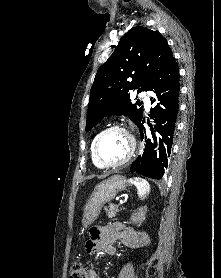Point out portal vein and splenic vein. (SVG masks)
<instances>
[{"instance_id": "obj_1", "label": "portal vein and splenic vein", "mask_w": 221, "mask_h": 278, "mask_svg": "<svg viewBox=\"0 0 221 278\" xmlns=\"http://www.w3.org/2000/svg\"><path fill=\"white\" fill-rule=\"evenodd\" d=\"M125 202L121 199L120 201H119V204L120 205H123Z\"/></svg>"}]
</instances>
